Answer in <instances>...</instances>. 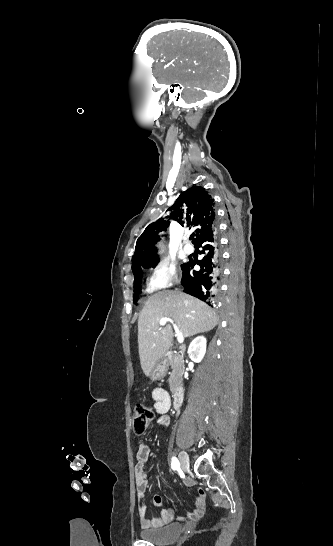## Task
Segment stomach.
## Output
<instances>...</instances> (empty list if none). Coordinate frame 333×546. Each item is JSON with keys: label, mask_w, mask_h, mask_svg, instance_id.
I'll return each instance as SVG.
<instances>
[{"label": "stomach", "mask_w": 333, "mask_h": 546, "mask_svg": "<svg viewBox=\"0 0 333 546\" xmlns=\"http://www.w3.org/2000/svg\"><path fill=\"white\" fill-rule=\"evenodd\" d=\"M167 370H168V360L166 356H164L153 367L150 373V378L152 380H160L166 376Z\"/></svg>", "instance_id": "obj_1"}]
</instances>
